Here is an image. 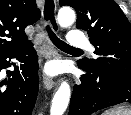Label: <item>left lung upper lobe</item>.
I'll return each mask as SVG.
<instances>
[{
    "label": "left lung upper lobe",
    "mask_w": 131,
    "mask_h": 115,
    "mask_svg": "<svg viewBox=\"0 0 131 115\" xmlns=\"http://www.w3.org/2000/svg\"><path fill=\"white\" fill-rule=\"evenodd\" d=\"M77 12V28L88 32L96 59L78 63L94 72L131 78V25L114 0H60Z\"/></svg>",
    "instance_id": "left-lung-upper-lobe-1"
}]
</instances>
